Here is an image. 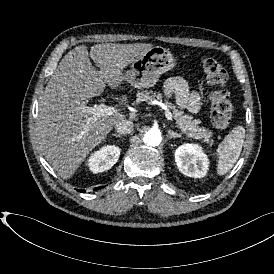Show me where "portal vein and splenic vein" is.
Wrapping results in <instances>:
<instances>
[{
  "label": "portal vein and splenic vein",
  "instance_id": "1",
  "mask_svg": "<svg viewBox=\"0 0 274 274\" xmlns=\"http://www.w3.org/2000/svg\"><path fill=\"white\" fill-rule=\"evenodd\" d=\"M162 109L165 111V116L167 120L173 121V116L168 107L164 104L161 105ZM80 110L83 113L91 114L94 119H97L101 116H109L115 113V107L108 106L104 102H101L98 106H81Z\"/></svg>",
  "mask_w": 274,
  "mask_h": 274
}]
</instances>
